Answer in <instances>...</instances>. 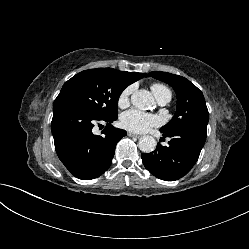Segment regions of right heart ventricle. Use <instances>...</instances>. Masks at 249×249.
Segmentation results:
<instances>
[{
    "instance_id": "obj_1",
    "label": "right heart ventricle",
    "mask_w": 249,
    "mask_h": 249,
    "mask_svg": "<svg viewBox=\"0 0 249 249\" xmlns=\"http://www.w3.org/2000/svg\"><path fill=\"white\" fill-rule=\"evenodd\" d=\"M151 90L155 97H158L164 93H168L171 95V91L165 85L160 83H155L151 86Z\"/></svg>"
}]
</instances>
